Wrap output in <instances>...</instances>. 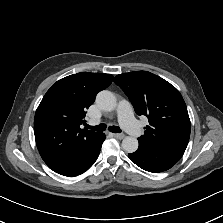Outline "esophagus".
Segmentation results:
<instances>
[{
  "mask_svg": "<svg viewBox=\"0 0 223 223\" xmlns=\"http://www.w3.org/2000/svg\"><path fill=\"white\" fill-rule=\"evenodd\" d=\"M124 136H125L124 134H114V137L120 140L123 139Z\"/></svg>",
  "mask_w": 223,
  "mask_h": 223,
  "instance_id": "34e87169",
  "label": "esophagus"
}]
</instances>
